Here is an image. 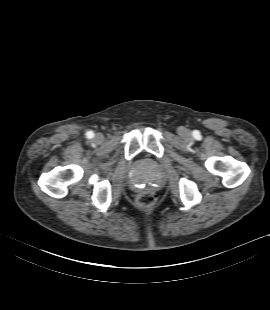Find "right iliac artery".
I'll list each match as a JSON object with an SVG mask.
<instances>
[{
	"label": "right iliac artery",
	"instance_id": "right-iliac-artery-1",
	"mask_svg": "<svg viewBox=\"0 0 270 310\" xmlns=\"http://www.w3.org/2000/svg\"><path fill=\"white\" fill-rule=\"evenodd\" d=\"M94 136L93 132L89 131L87 132V138H92Z\"/></svg>",
	"mask_w": 270,
	"mask_h": 310
}]
</instances>
